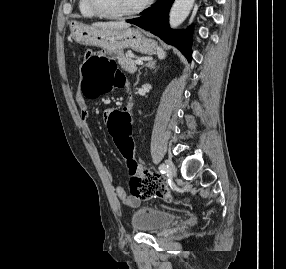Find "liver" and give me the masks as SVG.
Returning <instances> with one entry per match:
<instances>
[{
  "instance_id": "1",
  "label": "liver",
  "mask_w": 286,
  "mask_h": 269,
  "mask_svg": "<svg viewBox=\"0 0 286 269\" xmlns=\"http://www.w3.org/2000/svg\"><path fill=\"white\" fill-rule=\"evenodd\" d=\"M93 27L103 28V29H111V30H118V29H127L130 27L129 23L124 21L120 22H98L92 25Z\"/></svg>"
}]
</instances>
